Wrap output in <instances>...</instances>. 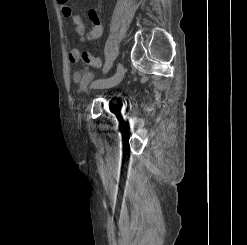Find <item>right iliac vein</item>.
I'll return each instance as SVG.
<instances>
[{
  "label": "right iliac vein",
  "instance_id": "63e3f726",
  "mask_svg": "<svg viewBox=\"0 0 247 245\" xmlns=\"http://www.w3.org/2000/svg\"><path fill=\"white\" fill-rule=\"evenodd\" d=\"M124 72L125 71H124L123 66L121 64H119L116 74L111 78H108V79H105V80H103V79L102 80H98L97 81L98 82V86L95 87V88L104 89V88H112V87L116 86L123 79Z\"/></svg>",
  "mask_w": 247,
  "mask_h": 245
}]
</instances>
